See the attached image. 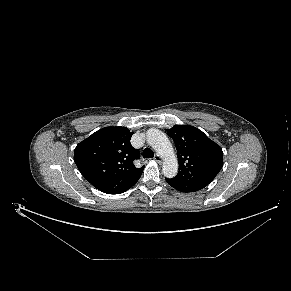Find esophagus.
I'll use <instances>...</instances> for the list:
<instances>
[{
	"label": "esophagus",
	"instance_id": "esophagus-1",
	"mask_svg": "<svg viewBox=\"0 0 291 291\" xmlns=\"http://www.w3.org/2000/svg\"><path fill=\"white\" fill-rule=\"evenodd\" d=\"M154 160L157 162V163H161L162 162V157L159 155V154H156L154 156Z\"/></svg>",
	"mask_w": 291,
	"mask_h": 291
}]
</instances>
